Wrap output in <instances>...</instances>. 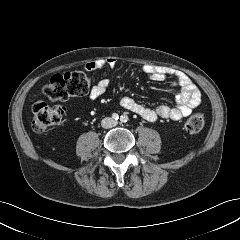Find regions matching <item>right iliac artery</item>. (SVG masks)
<instances>
[{
  "label": "right iliac artery",
  "instance_id": "1",
  "mask_svg": "<svg viewBox=\"0 0 240 240\" xmlns=\"http://www.w3.org/2000/svg\"><path fill=\"white\" fill-rule=\"evenodd\" d=\"M112 118H113L114 120H118V119H119V115H118L117 113H114V114L112 115Z\"/></svg>",
  "mask_w": 240,
  "mask_h": 240
}]
</instances>
